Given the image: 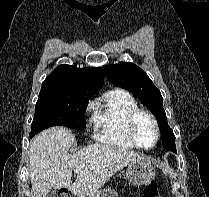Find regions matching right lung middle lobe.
I'll list each match as a JSON object with an SVG mask.
<instances>
[{"label": "right lung middle lobe", "instance_id": "right-lung-middle-lobe-1", "mask_svg": "<svg viewBox=\"0 0 209 197\" xmlns=\"http://www.w3.org/2000/svg\"><path fill=\"white\" fill-rule=\"evenodd\" d=\"M95 93L74 85L42 84L30 135L51 126L86 128L85 111Z\"/></svg>", "mask_w": 209, "mask_h": 197}]
</instances>
